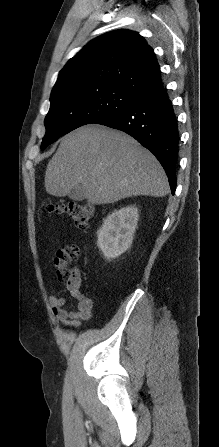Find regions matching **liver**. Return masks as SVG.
I'll return each mask as SVG.
<instances>
[{
    "label": "liver",
    "mask_w": 219,
    "mask_h": 447,
    "mask_svg": "<svg viewBox=\"0 0 219 447\" xmlns=\"http://www.w3.org/2000/svg\"><path fill=\"white\" fill-rule=\"evenodd\" d=\"M78 185L92 205L169 193L165 171L151 152L129 135L100 125L82 126L62 137L47 165L48 194L64 197Z\"/></svg>",
    "instance_id": "liver-1"
}]
</instances>
